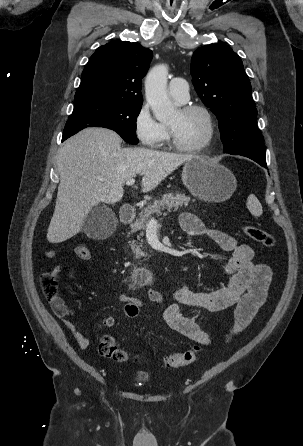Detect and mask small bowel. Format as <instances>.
Returning a JSON list of instances; mask_svg holds the SVG:
<instances>
[{
  "instance_id": "c3829d8e",
  "label": "small bowel",
  "mask_w": 303,
  "mask_h": 446,
  "mask_svg": "<svg viewBox=\"0 0 303 446\" xmlns=\"http://www.w3.org/2000/svg\"><path fill=\"white\" fill-rule=\"evenodd\" d=\"M180 226L189 236L209 237L224 251L231 254L224 267V273L228 279L227 285L210 291H193L182 285L174 293L176 302L164 311V319L170 328L190 340L209 345L212 342L210 336L200 324L186 315L185 308L219 312L234 307V324L230 336L235 335L250 324L258 309L264 304L272 279V270L268 265L254 261V251L249 245L239 244L233 236L206 226L192 213L181 214ZM46 256L53 258L55 251L48 250ZM60 271L61 266H57L52 273L58 276ZM134 286L145 288V295L151 306L162 302V294L147 287L145 282L134 284ZM118 300L123 303V314L129 319L138 317L146 309L143 300L137 297L120 294ZM52 307L79 347L87 348L89 339L68 320L74 314L73 309L68 307L63 300L52 303ZM114 325L115 318L107 315L102 318L98 328L108 329Z\"/></svg>"
}]
</instances>
